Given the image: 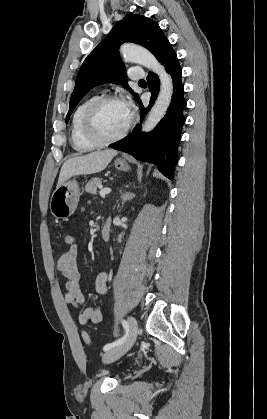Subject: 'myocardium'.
I'll list each match as a JSON object with an SVG mask.
<instances>
[{
  "instance_id": "f54148a6",
  "label": "myocardium",
  "mask_w": 267,
  "mask_h": 419,
  "mask_svg": "<svg viewBox=\"0 0 267 419\" xmlns=\"http://www.w3.org/2000/svg\"><path fill=\"white\" fill-rule=\"evenodd\" d=\"M114 101L125 103L124 99L118 95H103L95 98L84 111L82 117V133L87 140H89L93 144H96L97 146H104L121 140L127 135L130 128L135 122V115L133 111L130 110V119L121 132L112 137H103L102 135H100L96 130L94 122L96 112L104 104Z\"/></svg>"
}]
</instances>
